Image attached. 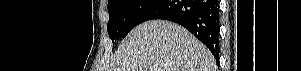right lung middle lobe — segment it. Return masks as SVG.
Instances as JSON below:
<instances>
[{
  "instance_id": "obj_1",
  "label": "right lung middle lobe",
  "mask_w": 301,
  "mask_h": 71,
  "mask_svg": "<svg viewBox=\"0 0 301 71\" xmlns=\"http://www.w3.org/2000/svg\"><path fill=\"white\" fill-rule=\"evenodd\" d=\"M157 0H109L107 30L112 42L124 38L139 24L142 14Z\"/></svg>"
}]
</instances>
